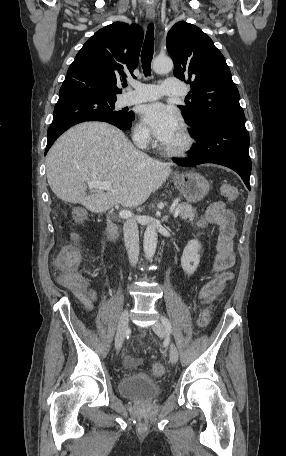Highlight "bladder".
I'll return each instance as SVG.
<instances>
[{
  "mask_svg": "<svg viewBox=\"0 0 286 456\" xmlns=\"http://www.w3.org/2000/svg\"><path fill=\"white\" fill-rule=\"evenodd\" d=\"M163 392L161 383L145 374H130L119 381V393L132 400L147 403L156 400Z\"/></svg>",
  "mask_w": 286,
  "mask_h": 456,
  "instance_id": "31cf9c89",
  "label": "bladder"
}]
</instances>
